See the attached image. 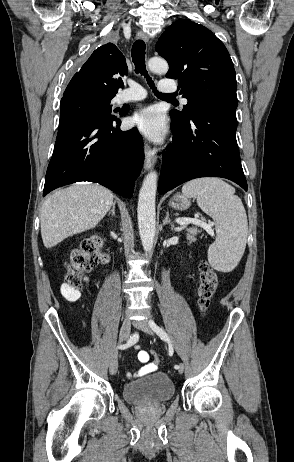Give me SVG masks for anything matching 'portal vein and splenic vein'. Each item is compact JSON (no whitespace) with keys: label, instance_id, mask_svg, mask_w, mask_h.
<instances>
[{"label":"portal vein and splenic vein","instance_id":"1","mask_svg":"<svg viewBox=\"0 0 294 462\" xmlns=\"http://www.w3.org/2000/svg\"><path fill=\"white\" fill-rule=\"evenodd\" d=\"M180 226H187L188 224H195L201 227H208V225L201 220L195 218H178L175 220Z\"/></svg>","mask_w":294,"mask_h":462}]
</instances>
